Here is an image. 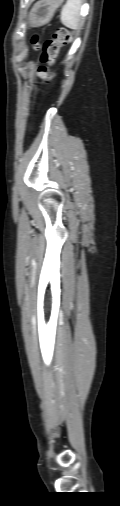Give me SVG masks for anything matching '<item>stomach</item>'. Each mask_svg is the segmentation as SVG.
Segmentation results:
<instances>
[{"label": "stomach", "instance_id": "stomach-1", "mask_svg": "<svg viewBox=\"0 0 120 506\" xmlns=\"http://www.w3.org/2000/svg\"><path fill=\"white\" fill-rule=\"evenodd\" d=\"M64 0H39L31 8L29 14V24L32 26H41L48 23L56 9L62 5Z\"/></svg>", "mask_w": 120, "mask_h": 506}]
</instances>
